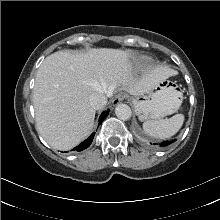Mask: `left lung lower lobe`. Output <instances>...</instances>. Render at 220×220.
Here are the masks:
<instances>
[{
    "label": "left lung lower lobe",
    "instance_id": "0a47b994",
    "mask_svg": "<svg viewBox=\"0 0 220 220\" xmlns=\"http://www.w3.org/2000/svg\"><path fill=\"white\" fill-rule=\"evenodd\" d=\"M174 141H175V140H174ZM174 141H166V142H162V143H159V144L153 143V145H157V146H167V145L173 143Z\"/></svg>",
    "mask_w": 220,
    "mask_h": 220
}]
</instances>
